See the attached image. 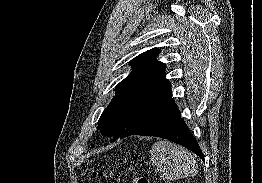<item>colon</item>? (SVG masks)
<instances>
[{
  "mask_svg": "<svg viewBox=\"0 0 262 183\" xmlns=\"http://www.w3.org/2000/svg\"><path fill=\"white\" fill-rule=\"evenodd\" d=\"M92 176L95 178H103V179H114L116 181H118V183H128V181H130L131 183H151L150 180L145 177V176H136L133 178H129L128 176L124 175V174H117L115 172L112 171H108V172H92Z\"/></svg>",
  "mask_w": 262,
  "mask_h": 183,
  "instance_id": "colon-1",
  "label": "colon"
}]
</instances>
